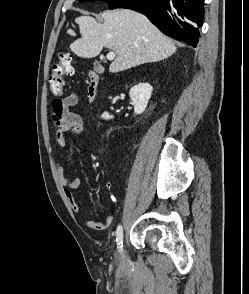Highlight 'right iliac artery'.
<instances>
[{
    "label": "right iliac artery",
    "mask_w": 249,
    "mask_h": 294,
    "mask_svg": "<svg viewBox=\"0 0 249 294\" xmlns=\"http://www.w3.org/2000/svg\"><path fill=\"white\" fill-rule=\"evenodd\" d=\"M116 241H117V245H118V249L121 252L122 251V247H123V228L121 225H119L117 227L116 230Z\"/></svg>",
    "instance_id": "obj_1"
}]
</instances>
